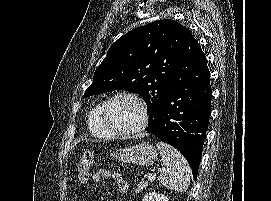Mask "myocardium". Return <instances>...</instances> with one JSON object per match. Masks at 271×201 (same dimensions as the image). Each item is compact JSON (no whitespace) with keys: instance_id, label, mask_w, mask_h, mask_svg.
I'll return each mask as SVG.
<instances>
[{"instance_id":"f54148a6","label":"myocardium","mask_w":271,"mask_h":201,"mask_svg":"<svg viewBox=\"0 0 271 201\" xmlns=\"http://www.w3.org/2000/svg\"><path fill=\"white\" fill-rule=\"evenodd\" d=\"M120 97H126V98L132 99L133 101L137 103V105L139 106L141 110V121L138 124V126H136L134 129H131L128 131L118 130L110 122L109 115H108V108L115 99L120 98ZM101 118H102L104 126L113 135L121 136V137H132L141 133L147 128L148 123H149V110H148L145 100L137 93L131 92V91H118L112 94L110 97H108L107 100L103 103V106L101 109Z\"/></svg>"}]
</instances>
